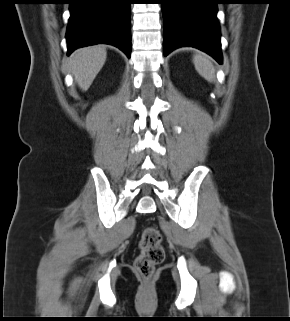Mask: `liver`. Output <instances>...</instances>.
<instances>
[{"label": "liver", "instance_id": "liver-1", "mask_svg": "<svg viewBox=\"0 0 290 321\" xmlns=\"http://www.w3.org/2000/svg\"><path fill=\"white\" fill-rule=\"evenodd\" d=\"M107 57L104 46L96 45L77 49L69 60V68L80 89L86 91L102 69Z\"/></svg>", "mask_w": 290, "mask_h": 321}]
</instances>
